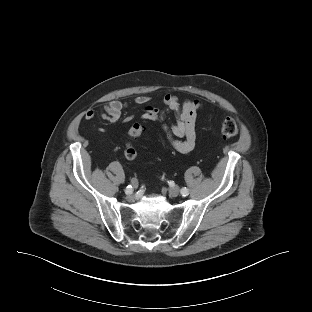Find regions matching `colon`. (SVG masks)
I'll list each match as a JSON object with an SVG mask.
<instances>
[{
  "instance_id": "5ec220e1",
  "label": "colon",
  "mask_w": 312,
  "mask_h": 312,
  "mask_svg": "<svg viewBox=\"0 0 312 312\" xmlns=\"http://www.w3.org/2000/svg\"><path fill=\"white\" fill-rule=\"evenodd\" d=\"M221 131L224 136L233 137L238 134L239 129L234 119L225 118L221 124ZM142 132H143L142 124L134 123L128 130V136L130 139H134L139 137L142 134ZM124 155L129 160L135 159L137 156V150L131 143H128L125 147Z\"/></svg>"
}]
</instances>
